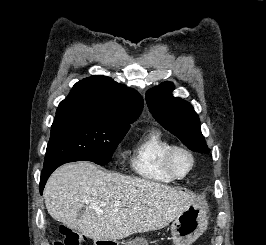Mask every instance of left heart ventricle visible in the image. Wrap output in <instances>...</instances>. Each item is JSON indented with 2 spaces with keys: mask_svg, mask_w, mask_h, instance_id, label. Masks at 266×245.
Masks as SVG:
<instances>
[{
  "mask_svg": "<svg viewBox=\"0 0 266 245\" xmlns=\"http://www.w3.org/2000/svg\"><path fill=\"white\" fill-rule=\"evenodd\" d=\"M191 166V160L189 156L183 152H179L174 157V167L178 175H185Z\"/></svg>",
  "mask_w": 266,
  "mask_h": 245,
  "instance_id": "left-heart-ventricle-1",
  "label": "left heart ventricle"
}]
</instances>
